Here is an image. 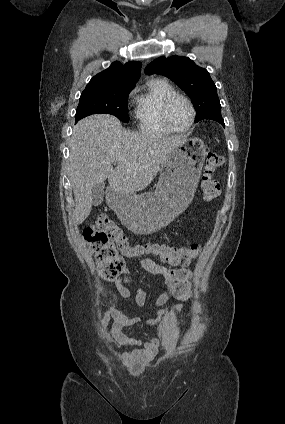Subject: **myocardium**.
<instances>
[{
	"instance_id": "f54148a6",
	"label": "myocardium",
	"mask_w": 285,
	"mask_h": 424,
	"mask_svg": "<svg viewBox=\"0 0 285 424\" xmlns=\"http://www.w3.org/2000/svg\"><path fill=\"white\" fill-rule=\"evenodd\" d=\"M176 100H183V101H185L188 104V106L190 108V111H191V119H190V122H189L188 126L185 129H177V128H175L171 124V122L169 120V111H170V108H171V106L173 105V103ZM162 119H163V123L165 124V126L172 133L185 134V133L189 132L192 129L193 125H194V122H195V119H196V109L194 107V104L192 103V101L188 97H186L184 95H181V94H175V95L171 96L165 102V104L163 106V110H162Z\"/></svg>"
}]
</instances>
